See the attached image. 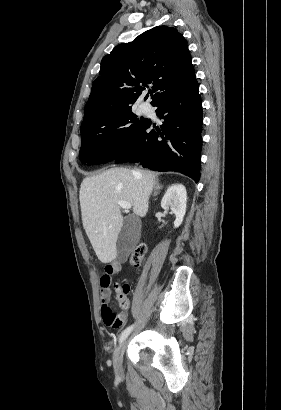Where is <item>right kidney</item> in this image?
I'll return each mask as SVG.
<instances>
[{
	"label": "right kidney",
	"mask_w": 281,
	"mask_h": 410,
	"mask_svg": "<svg viewBox=\"0 0 281 410\" xmlns=\"http://www.w3.org/2000/svg\"><path fill=\"white\" fill-rule=\"evenodd\" d=\"M187 192L182 184H173L170 186L161 200V207L165 210L170 209L175 214L174 227H179L186 213Z\"/></svg>",
	"instance_id": "right-kidney-1"
}]
</instances>
